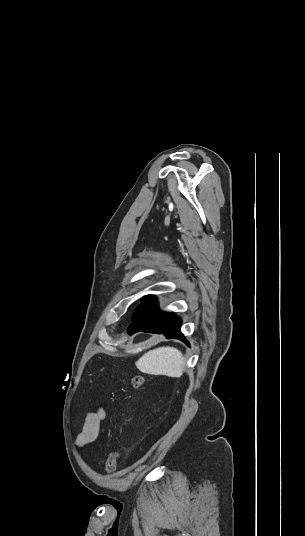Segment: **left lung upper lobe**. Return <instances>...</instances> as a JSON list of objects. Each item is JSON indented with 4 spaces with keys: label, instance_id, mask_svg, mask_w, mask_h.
I'll return each mask as SVG.
<instances>
[{
    "label": "left lung upper lobe",
    "instance_id": "obj_1",
    "mask_svg": "<svg viewBox=\"0 0 305 536\" xmlns=\"http://www.w3.org/2000/svg\"><path fill=\"white\" fill-rule=\"evenodd\" d=\"M150 297H151L150 295L144 296V297L142 298V302H144L145 300H147V299L150 298Z\"/></svg>",
    "mask_w": 305,
    "mask_h": 536
}]
</instances>
